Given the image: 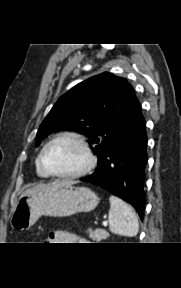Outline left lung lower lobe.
Listing matches in <instances>:
<instances>
[{"label":"left lung lower lobe","mask_w":181,"mask_h":288,"mask_svg":"<svg viewBox=\"0 0 181 288\" xmlns=\"http://www.w3.org/2000/svg\"><path fill=\"white\" fill-rule=\"evenodd\" d=\"M147 135L141 105L133 101L115 140L98 163L96 171L80 180L98 185L131 204L141 219L145 210Z\"/></svg>","instance_id":"0a47b994"}]
</instances>
